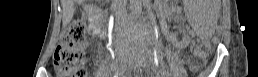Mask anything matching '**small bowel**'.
Returning a JSON list of instances; mask_svg holds the SVG:
<instances>
[{"instance_id":"small-bowel-1","label":"small bowel","mask_w":258,"mask_h":77,"mask_svg":"<svg viewBox=\"0 0 258 77\" xmlns=\"http://www.w3.org/2000/svg\"><path fill=\"white\" fill-rule=\"evenodd\" d=\"M189 43L188 39H184L183 41L178 42L179 46H184L187 45Z\"/></svg>"}]
</instances>
